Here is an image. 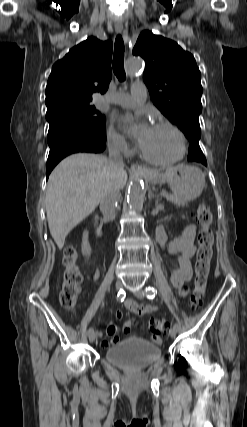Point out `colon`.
<instances>
[{
	"instance_id": "1",
	"label": "colon",
	"mask_w": 247,
	"mask_h": 427,
	"mask_svg": "<svg viewBox=\"0 0 247 427\" xmlns=\"http://www.w3.org/2000/svg\"><path fill=\"white\" fill-rule=\"evenodd\" d=\"M200 230L198 234V250L194 266L193 288L190 298V309L196 311L203 302L207 280L213 255L214 235L212 231L213 214L211 209L202 204L196 212ZM78 252L73 244L65 247L63 252L64 275L59 294L61 305L73 309L80 293L83 276L77 264ZM150 331L157 337L166 333L168 324L159 319H151L148 323Z\"/></svg>"
}]
</instances>
